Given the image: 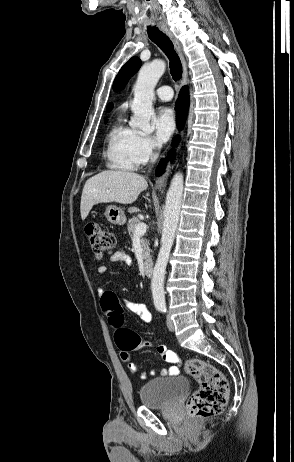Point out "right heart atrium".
Returning a JSON list of instances; mask_svg holds the SVG:
<instances>
[{
	"label": "right heart atrium",
	"mask_w": 294,
	"mask_h": 462,
	"mask_svg": "<svg viewBox=\"0 0 294 462\" xmlns=\"http://www.w3.org/2000/svg\"><path fill=\"white\" fill-rule=\"evenodd\" d=\"M158 149L159 144L152 136L135 132L132 151L137 164L148 162L155 156Z\"/></svg>",
	"instance_id": "d8ad5b80"
}]
</instances>
